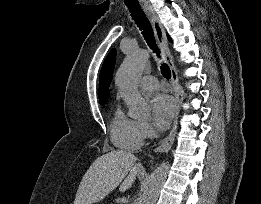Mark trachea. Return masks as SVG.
<instances>
[{
	"instance_id": "1",
	"label": "trachea",
	"mask_w": 261,
	"mask_h": 204,
	"mask_svg": "<svg viewBox=\"0 0 261 204\" xmlns=\"http://www.w3.org/2000/svg\"><path fill=\"white\" fill-rule=\"evenodd\" d=\"M127 7L129 11L131 12L132 18L139 27V29L142 31L143 37L146 40L148 46L154 50V52L157 54L158 57H160V51L157 48V45L155 43L153 29L148 21L146 15L144 14L143 10L141 9L140 5H129L127 4ZM160 70L162 75L166 79L171 78V71L167 64L163 63L160 66Z\"/></svg>"
}]
</instances>
